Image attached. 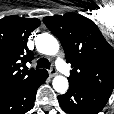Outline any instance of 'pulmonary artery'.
<instances>
[{
	"label": "pulmonary artery",
	"mask_w": 114,
	"mask_h": 114,
	"mask_svg": "<svg viewBox=\"0 0 114 114\" xmlns=\"http://www.w3.org/2000/svg\"><path fill=\"white\" fill-rule=\"evenodd\" d=\"M56 66L64 75H69V68L62 59H57Z\"/></svg>",
	"instance_id": "e3ab8cb5"
}]
</instances>
